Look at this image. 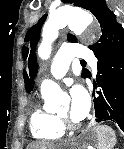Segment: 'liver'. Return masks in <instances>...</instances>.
<instances>
[{
    "label": "liver",
    "mask_w": 124,
    "mask_h": 149,
    "mask_svg": "<svg viewBox=\"0 0 124 149\" xmlns=\"http://www.w3.org/2000/svg\"><path fill=\"white\" fill-rule=\"evenodd\" d=\"M27 149H55V146L52 143L36 142L28 145Z\"/></svg>",
    "instance_id": "6515ba94"
}]
</instances>
